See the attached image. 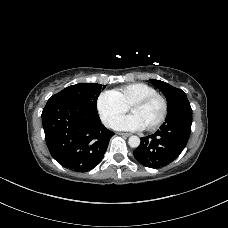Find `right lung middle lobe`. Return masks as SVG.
Instances as JSON below:
<instances>
[{"label":"right lung middle lobe","instance_id":"1","mask_svg":"<svg viewBox=\"0 0 228 228\" xmlns=\"http://www.w3.org/2000/svg\"><path fill=\"white\" fill-rule=\"evenodd\" d=\"M105 86L95 83H79L71 85L59 93L53 95L50 99H63L84 105L97 112V99L101 90Z\"/></svg>","mask_w":228,"mask_h":228}]
</instances>
